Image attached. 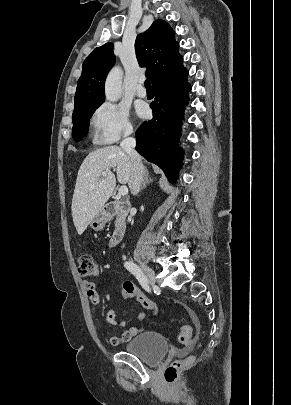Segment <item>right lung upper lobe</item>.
Wrapping results in <instances>:
<instances>
[{"label": "right lung upper lobe", "instance_id": "obj_1", "mask_svg": "<svg viewBox=\"0 0 291 405\" xmlns=\"http://www.w3.org/2000/svg\"><path fill=\"white\" fill-rule=\"evenodd\" d=\"M173 29L164 20H156L135 41V51L141 67H147L146 75L153 86L162 79L177 75L185 70L183 58L178 52ZM115 63L113 44L97 47L85 59L82 75L75 93L74 112L101 105L104 102V81Z\"/></svg>", "mask_w": 291, "mask_h": 405}]
</instances>
